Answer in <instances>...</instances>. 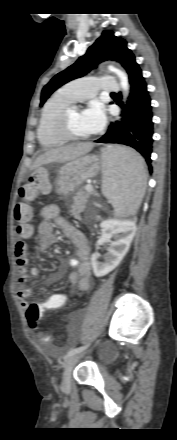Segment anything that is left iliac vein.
Returning a JSON list of instances; mask_svg holds the SVG:
<instances>
[{
	"label": "left iliac vein",
	"mask_w": 177,
	"mask_h": 440,
	"mask_svg": "<svg viewBox=\"0 0 177 440\" xmlns=\"http://www.w3.org/2000/svg\"><path fill=\"white\" fill-rule=\"evenodd\" d=\"M81 356L82 355L80 353H77V354L70 356L65 361L64 372H63L62 383H61L62 390L67 391L70 389L71 373H72L74 366L76 365V363L78 362V360L80 359Z\"/></svg>",
	"instance_id": "obj_1"
}]
</instances>
